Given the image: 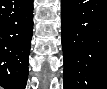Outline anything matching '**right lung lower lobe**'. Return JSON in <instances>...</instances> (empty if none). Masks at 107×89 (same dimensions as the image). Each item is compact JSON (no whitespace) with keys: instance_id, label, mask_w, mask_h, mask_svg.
Listing matches in <instances>:
<instances>
[{"instance_id":"1","label":"right lung lower lobe","mask_w":107,"mask_h":89,"mask_svg":"<svg viewBox=\"0 0 107 89\" xmlns=\"http://www.w3.org/2000/svg\"><path fill=\"white\" fill-rule=\"evenodd\" d=\"M33 30V0H0V85L25 89Z\"/></svg>"}]
</instances>
